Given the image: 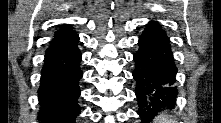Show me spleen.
I'll use <instances>...</instances> for the list:
<instances>
[{"instance_id":"obj_1","label":"spleen","mask_w":221,"mask_h":123,"mask_svg":"<svg viewBox=\"0 0 221 123\" xmlns=\"http://www.w3.org/2000/svg\"><path fill=\"white\" fill-rule=\"evenodd\" d=\"M153 123H173V122L171 116H169L166 113H161L154 118Z\"/></svg>"}]
</instances>
